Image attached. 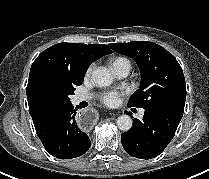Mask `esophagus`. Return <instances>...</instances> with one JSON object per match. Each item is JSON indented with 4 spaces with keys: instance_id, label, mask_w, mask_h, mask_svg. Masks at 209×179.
I'll list each match as a JSON object with an SVG mask.
<instances>
[{
    "instance_id": "obj_1",
    "label": "esophagus",
    "mask_w": 209,
    "mask_h": 179,
    "mask_svg": "<svg viewBox=\"0 0 209 179\" xmlns=\"http://www.w3.org/2000/svg\"><path fill=\"white\" fill-rule=\"evenodd\" d=\"M97 117V111L93 107H84L76 113L75 119L81 128L87 129L94 124Z\"/></svg>"
}]
</instances>
